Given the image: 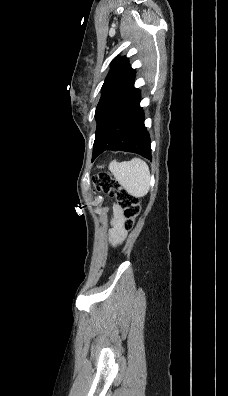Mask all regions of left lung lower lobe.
I'll list each match as a JSON object with an SVG mask.
<instances>
[{"instance_id": "1", "label": "left lung lower lobe", "mask_w": 228, "mask_h": 396, "mask_svg": "<svg viewBox=\"0 0 228 396\" xmlns=\"http://www.w3.org/2000/svg\"><path fill=\"white\" fill-rule=\"evenodd\" d=\"M140 101V90L132 85L105 111L96 129V152L92 160L105 150L133 152L152 159Z\"/></svg>"}]
</instances>
